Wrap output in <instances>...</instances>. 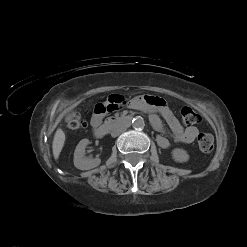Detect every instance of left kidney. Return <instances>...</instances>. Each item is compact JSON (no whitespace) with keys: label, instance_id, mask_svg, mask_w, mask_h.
Listing matches in <instances>:
<instances>
[{"label":"left kidney","instance_id":"obj_1","mask_svg":"<svg viewBox=\"0 0 247 247\" xmlns=\"http://www.w3.org/2000/svg\"><path fill=\"white\" fill-rule=\"evenodd\" d=\"M172 158L174 161L178 163H184L189 160V155L186 150L181 149V148H175L171 152Z\"/></svg>","mask_w":247,"mask_h":247}]
</instances>
